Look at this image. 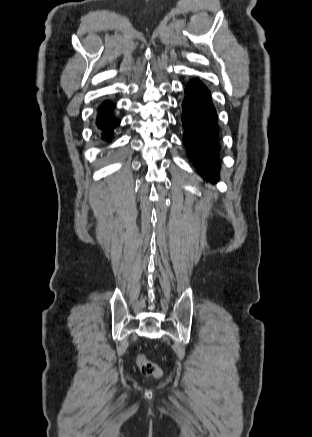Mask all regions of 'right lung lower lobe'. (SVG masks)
I'll list each match as a JSON object with an SVG mask.
<instances>
[{"instance_id": "1", "label": "right lung lower lobe", "mask_w": 312, "mask_h": 437, "mask_svg": "<svg viewBox=\"0 0 312 437\" xmlns=\"http://www.w3.org/2000/svg\"><path fill=\"white\" fill-rule=\"evenodd\" d=\"M113 108L114 104L111 101H105L99 108L97 126L106 133L102 136L103 139L111 140L112 129L119 124V120L112 115Z\"/></svg>"}]
</instances>
